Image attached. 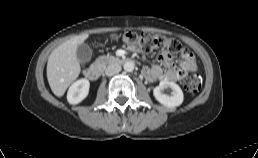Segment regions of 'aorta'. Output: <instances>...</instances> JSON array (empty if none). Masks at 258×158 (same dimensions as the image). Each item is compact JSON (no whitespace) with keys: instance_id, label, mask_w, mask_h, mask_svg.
Returning a JSON list of instances; mask_svg holds the SVG:
<instances>
[{"instance_id":"obj_1","label":"aorta","mask_w":258,"mask_h":158,"mask_svg":"<svg viewBox=\"0 0 258 158\" xmlns=\"http://www.w3.org/2000/svg\"><path fill=\"white\" fill-rule=\"evenodd\" d=\"M123 68H124V70H125L126 72H131V71L134 70V63L131 62V61H128V62H126V63L124 64Z\"/></svg>"}]
</instances>
